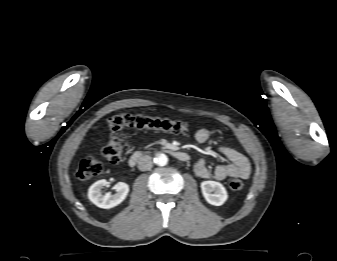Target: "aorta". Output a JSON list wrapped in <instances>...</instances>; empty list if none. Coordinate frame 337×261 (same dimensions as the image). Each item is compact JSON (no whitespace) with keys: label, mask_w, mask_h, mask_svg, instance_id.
I'll list each match as a JSON object with an SVG mask.
<instances>
[{"label":"aorta","mask_w":337,"mask_h":261,"mask_svg":"<svg viewBox=\"0 0 337 261\" xmlns=\"http://www.w3.org/2000/svg\"><path fill=\"white\" fill-rule=\"evenodd\" d=\"M155 163L159 166H165L168 163V157L165 154H159L155 158Z\"/></svg>","instance_id":"1"}]
</instances>
